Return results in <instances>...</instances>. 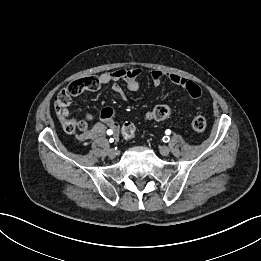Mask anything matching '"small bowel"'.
Returning a JSON list of instances; mask_svg holds the SVG:
<instances>
[{
  "label": "small bowel",
  "mask_w": 261,
  "mask_h": 261,
  "mask_svg": "<svg viewBox=\"0 0 261 261\" xmlns=\"http://www.w3.org/2000/svg\"><path fill=\"white\" fill-rule=\"evenodd\" d=\"M141 74V69H119L111 72H105L99 76L92 77L94 86L87 90H97L103 85H112L113 90L119 95L123 96V89L120 82H123L130 91H137L139 89L138 77ZM151 79L154 84H160L164 79L184 88L189 96V105L193 106L201 95L199 86L190 79L179 76L174 73L154 70L151 72ZM102 123H98L88 129H85L78 138L81 141H89L104 135L108 130L116 132L118 123L115 119V112L111 108H104L101 111Z\"/></svg>",
  "instance_id": "obj_1"
}]
</instances>
